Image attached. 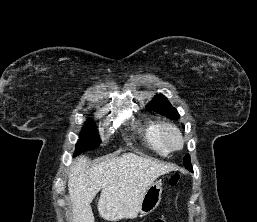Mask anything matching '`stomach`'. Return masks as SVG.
<instances>
[{
    "label": "stomach",
    "instance_id": "stomach-1",
    "mask_svg": "<svg viewBox=\"0 0 257 222\" xmlns=\"http://www.w3.org/2000/svg\"><path fill=\"white\" fill-rule=\"evenodd\" d=\"M162 196V183L161 181L153 182L143 196L140 205V213L147 215L153 212L159 205Z\"/></svg>",
    "mask_w": 257,
    "mask_h": 222
}]
</instances>
